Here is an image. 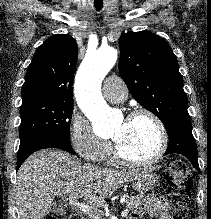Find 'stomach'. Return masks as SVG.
<instances>
[{
    "label": "stomach",
    "mask_w": 211,
    "mask_h": 219,
    "mask_svg": "<svg viewBox=\"0 0 211 219\" xmlns=\"http://www.w3.org/2000/svg\"><path fill=\"white\" fill-rule=\"evenodd\" d=\"M158 179L151 169L144 168L139 170L138 176L132 181V187L138 192H146L157 185Z\"/></svg>",
    "instance_id": "0dacf381"
}]
</instances>
